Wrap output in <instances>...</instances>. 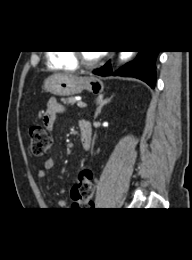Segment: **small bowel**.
<instances>
[{
    "label": "small bowel",
    "mask_w": 192,
    "mask_h": 260,
    "mask_svg": "<svg viewBox=\"0 0 192 260\" xmlns=\"http://www.w3.org/2000/svg\"><path fill=\"white\" fill-rule=\"evenodd\" d=\"M63 110H64L63 106L55 98L49 99L47 104V109L43 115V124L48 131H51L53 129L57 115L63 112ZM54 167H55V160L53 158H48L44 163V167L38 169L37 171L38 178L44 179L46 177L47 171L52 170ZM66 206L67 204L64 200H60L57 203L58 209H64L66 208ZM73 206L79 208V207H87L89 205H83L74 202Z\"/></svg>",
    "instance_id": "small-bowel-1"
}]
</instances>
